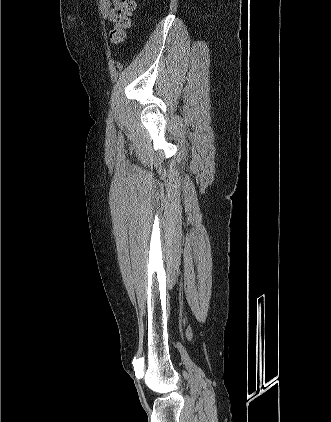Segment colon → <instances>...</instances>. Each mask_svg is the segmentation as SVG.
<instances>
[{
    "label": "colon",
    "instance_id": "obj_1",
    "mask_svg": "<svg viewBox=\"0 0 331 422\" xmlns=\"http://www.w3.org/2000/svg\"><path fill=\"white\" fill-rule=\"evenodd\" d=\"M122 7L114 19V26L109 30L108 36L113 46L121 45L126 38V30L130 27L131 16L136 8L134 0H121Z\"/></svg>",
    "mask_w": 331,
    "mask_h": 422
}]
</instances>
